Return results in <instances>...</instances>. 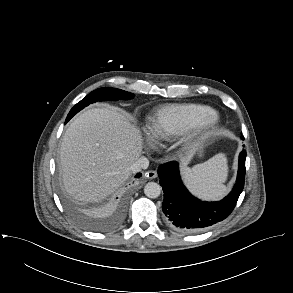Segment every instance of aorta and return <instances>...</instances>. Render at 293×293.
I'll use <instances>...</instances> for the list:
<instances>
[{"label": "aorta", "mask_w": 293, "mask_h": 293, "mask_svg": "<svg viewBox=\"0 0 293 293\" xmlns=\"http://www.w3.org/2000/svg\"><path fill=\"white\" fill-rule=\"evenodd\" d=\"M162 191L161 186L156 182H148L144 187V194L148 198H157Z\"/></svg>", "instance_id": "aorta-1"}]
</instances>
